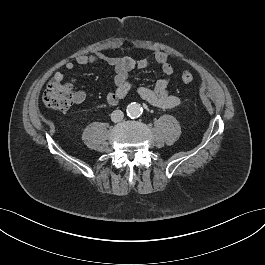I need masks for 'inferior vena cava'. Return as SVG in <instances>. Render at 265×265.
<instances>
[{"mask_svg":"<svg viewBox=\"0 0 265 265\" xmlns=\"http://www.w3.org/2000/svg\"><path fill=\"white\" fill-rule=\"evenodd\" d=\"M123 117H124V114L121 110H114L111 113V120L115 123L122 121Z\"/></svg>","mask_w":265,"mask_h":265,"instance_id":"obj_1","label":"inferior vena cava"}]
</instances>
